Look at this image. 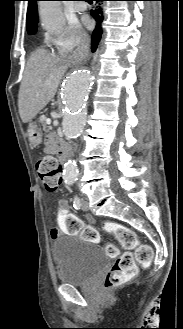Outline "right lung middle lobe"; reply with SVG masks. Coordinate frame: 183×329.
I'll list each match as a JSON object with an SVG mask.
<instances>
[{"label": "right lung middle lobe", "mask_w": 183, "mask_h": 329, "mask_svg": "<svg viewBox=\"0 0 183 329\" xmlns=\"http://www.w3.org/2000/svg\"><path fill=\"white\" fill-rule=\"evenodd\" d=\"M37 31V29L33 30L32 32H30L29 34H35Z\"/></svg>", "instance_id": "1"}]
</instances>
